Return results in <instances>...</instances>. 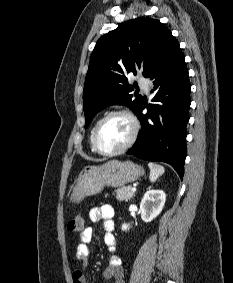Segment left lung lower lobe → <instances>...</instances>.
Masks as SVG:
<instances>
[{"mask_svg": "<svg viewBox=\"0 0 233 283\" xmlns=\"http://www.w3.org/2000/svg\"><path fill=\"white\" fill-rule=\"evenodd\" d=\"M148 78L153 81L151 93L155 103L145 106L142 101L136 112L142 129L127 154L149 161L166 162L182 179L191 85L179 43L171 48ZM145 108L148 112L143 114Z\"/></svg>", "mask_w": 233, "mask_h": 283, "instance_id": "obj_1", "label": "left lung lower lobe"}]
</instances>
